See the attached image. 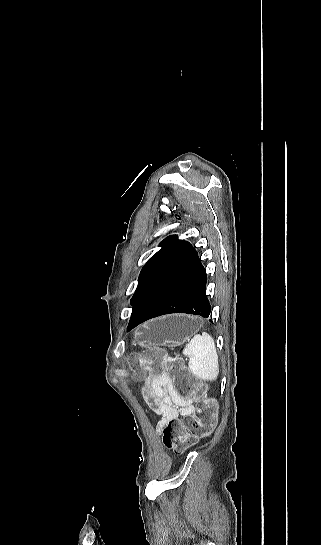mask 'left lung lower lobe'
Masks as SVG:
<instances>
[{"instance_id": "left-lung-lower-lobe-1", "label": "left lung lower lobe", "mask_w": 321, "mask_h": 545, "mask_svg": "<svg viewBox=\"0 0 321 545\" xmlns=\"http://www.w3.org/2000/svg\"><path fill=\"white\" fill-rule=\"evenodd\" d=\"M206 271L197 252L186 241L177 240L168 257L145 285L132 308L127 330L169 313L209 317Z\"/></svg>"}]
</instances>
